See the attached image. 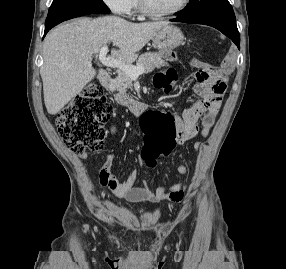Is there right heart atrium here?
Instances as JSON below:
<instances>
[{
  "label": "right heart atrium",
  "mask_w": 286,
  "mask_h": 269,
  "mask_svg": "<svg viewBox=\"0 0 286 269\" xmlns=\"http://www.w3.org/2000/svg\"><path fill=\"white\" fill-rule=\"evenodd\" d=\"M103 3L119 16H125L131 11V0H103Z\"/></svg>",
  "instance_id": "1"
}]
</instances>
